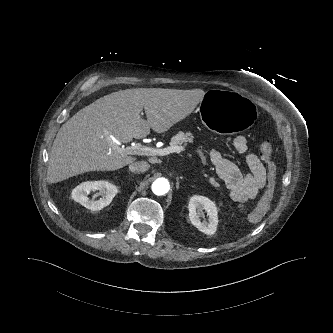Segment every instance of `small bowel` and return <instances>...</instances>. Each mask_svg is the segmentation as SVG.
Segmentation results:
<instances>
[{
	"label": "small bowel",
	"instance_id": "1",
	"mask_svg": "<svg viewBox=\"0 0 333 333\" xmlns=\"http://www.w3.org/2000/svg\"><path fill=\"white\" fill-rule=\"evenodd\" d=\"M232 146L238 154L243 156L248 172L243 174L237 165L224 158L221 151L214 148L209 153V159L216 172L230 189L231 196L238 202L253 200L259 196L268 181L265 179L266 164L256 154L248 150L247 141L242 136L231 140Z\"/></svg>",
	"mask_w": 333,
	"mask_h": 333
}]
</instances>
